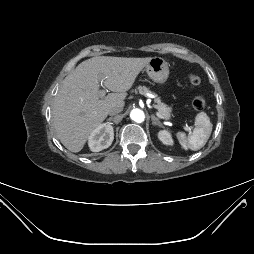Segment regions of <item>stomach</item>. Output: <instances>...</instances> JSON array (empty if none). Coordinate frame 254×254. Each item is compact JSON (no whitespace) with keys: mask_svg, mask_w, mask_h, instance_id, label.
<instances>
[{"mask_svg":"<svg viewBox=\"0 0 254 254\" xmlns=\"http://www.w3.org/2000/svg\"><path fill=\"white\" fill-rule=\"evenodd\" d=\"M148 76L158 84H164L169 76V67L167 62L161 57H153L146 64Z\"/></svg>","mask_w":254,"mask_h":254,"instance_id":"stomach-1","label":"stomach"}]
</instances>
